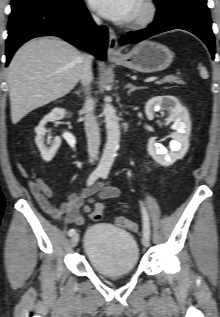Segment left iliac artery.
Here are the masks:
<instances>
[{
	"instance_id": "obj_1",
	"label": "left iliac artery",
	"mask_w": 220,
	"mask_h": 317,
	"mask_svg": "<svg viewBox=\"0 0 220 317\" xmlns=\"http://www.w3.org/2000/svg\"><path fill=\"white\" fill-rule=\"evenodd\" d=\"M108 174H109V171H103L101 177L103 179H106L108 177ZM141 209H142V217H143V235L147 238H150V223H149L148 213L145 207L143 206V204H141Z\"/></svg>"
}]
</instances>
